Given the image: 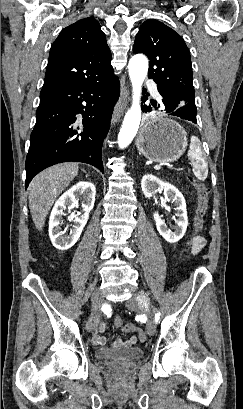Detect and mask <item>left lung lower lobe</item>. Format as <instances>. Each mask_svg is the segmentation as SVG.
Listing matches in <instances>:
<instances>
[{"label": "left lung lower lobe", "instance_id": "left-lung-lower-lobe-1", "mask_svg": "<svg viewBox=\"0 0 243 409\" xmlns=\"http://www.w3.org/2000/svg\"><path fill=\"white\" fill-rule=\"evenodd\" d=\"M158 91L162 96V100L159 103L153 101L151 102V105L142 106V111L150 112L153 109H156L159 111L170 113L173 116H178L182 119L192 121L193 123H197V110L195 102H193L189 98L182 97L176 93L169 92L163 89L158 88Z\"/></svg>", "mask_w": 243, "mask_h": 409}]
</instances>
